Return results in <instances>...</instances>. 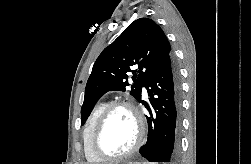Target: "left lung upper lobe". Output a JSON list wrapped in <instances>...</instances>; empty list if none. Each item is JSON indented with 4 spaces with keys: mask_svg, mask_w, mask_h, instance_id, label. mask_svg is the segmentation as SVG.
I'll return each instance as SVG.
<instances>
[{
    "mask_svg": "<svg viewBox=\"0 0 251 164\" xmlns=\"http://www.w3.org/2000/svg\"><path fill=\"white\" fill-rule=\"evenodd\" d=\"M170 55L168 39L154 21L140 18L132 22L97 58L86 84L81 121L90 115L103 94L126 91V86L130 85L126 74L129 71L134 73L130 94L140 101L145 80Z\"/></svg>",
    "mask_w": 251,
    "mask_h": 164,
    "instance_id": "5c2ea615",
    "label": "left lung upper lobe"
}]
</instances>
